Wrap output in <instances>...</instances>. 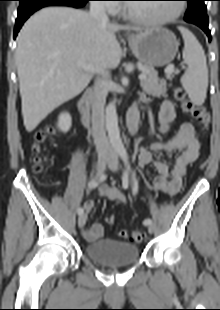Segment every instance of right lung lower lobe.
<instances>
[{
    "instance_id": "1",
    "label": "right lung lower lobe",
    "mask_w": 220,
    "mask_h": 310,
    "mask_svg": "<svg viewBox=\"0 0 220 310\" xmlns=\"http://www.w3.org/2000/svg\"><path fill=\"white\" fill-rule=\"evenodd\" d=\"M18 17L15 23L14 38H16L18 31L23 23L37 10L46 6H71L80 8L90 0H19Z\"/></svg>"
}]
</instances>
